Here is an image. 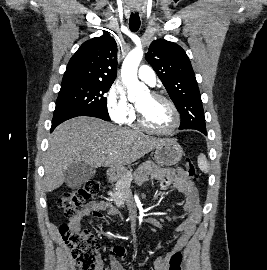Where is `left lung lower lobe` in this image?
Listing matches in <instances>:
<instances>
[{
    "label": "left lung lower lobe",
    "mask_w": 267,
    "mask_h": 270,
    "mask_svg": "<svg viewBox=\"0 0 267 270\" xmlns=\"http://www.w3.org/2000/svg\"><path fill=\"white\" fill-rule=\"evenodd\" d=\"M196 130H198V131L202 132L203 134L207 135L206 129H196Z\"/></svg>",
    "instance_id": "left-lung-lower-lobe-1"
}]
</instances>
